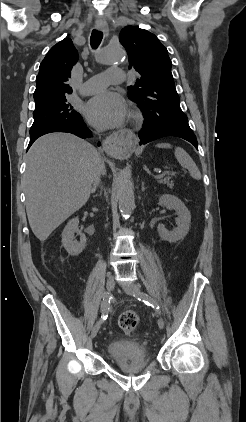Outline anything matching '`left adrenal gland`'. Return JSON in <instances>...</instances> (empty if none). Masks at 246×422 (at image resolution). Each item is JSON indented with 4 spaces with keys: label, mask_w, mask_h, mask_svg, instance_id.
<instances>
[{
    "label": "left adrenal gland",
    "mask_w": 246,
    "mask_h": 422,
    "mask_svg": "<svg viewBox=\"0 0 246 422\" xmlns=\"http://www.w3.org/2000/svg\"><path fill=\"white\" fill-rule=\"evenodd\" d=\"M145 189H146V188H145V186H144V182H142L141 190H142V191H145Z\"/></svg>",
    "instance_id": "left-adrenal-gland-1"
}]
</instances>
